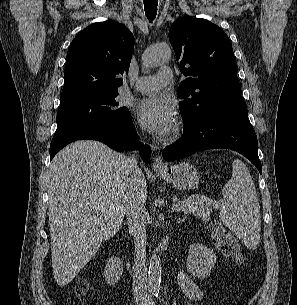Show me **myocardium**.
<instances>
[{
	"label": "myocardium",
	"instance_id": "f54148a6",
	"mask_svg": "<svg viewBox=\"0 0 297 305\" xmlns=\"http://www.w3.org/2000/svg\"><path fill=\"white\" fill-rule=\"evenodd\" d=\"M181 131V126L178 124L175 126V128L172 131L171 136L168 138L169 141H173L174 139L177 138V136L180 134Z\"/></svg>",
	"mask_w": 297,
	"mask_h": 305
}]
</instances>
